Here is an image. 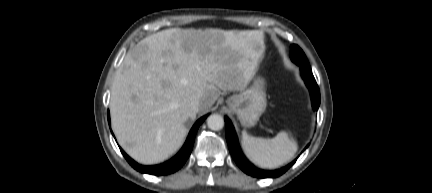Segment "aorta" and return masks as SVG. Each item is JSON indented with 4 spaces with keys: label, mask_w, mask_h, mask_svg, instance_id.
<instances>
[{
    "label": "aorta",
    "mask_w": 432,
    "mask_h": 193,
    "mask_svg": "<svg viewBox=\"0 0 432 193\" xmlns=\"http://www.w3.org/2000/svg\"><path fill=\"white\" fill-rule=\"evenodd\" d=\"M207 126L211 130L219 131L224 127V118L219 114H212L207 118Z\"/></svg>",
    "instance_id": "aorta-1"
}]
</instances>
